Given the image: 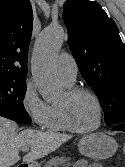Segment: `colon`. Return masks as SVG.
Segmentation results:
<instances>
[{"instance_id": "5ec220e1", "label": "colon", "mask_w": 125, "mask_h": 167, "mask_svg": "<svg viewBox=\"0 0 125 167\" xmlns=\"http://www.w3.org/2000/svg\"><path fill=\"white\" fill-rule=\"evenodd\" d=\"M123 150H124V153H125V145H124V147H123Z\"/></svg>"}]
</instances>
